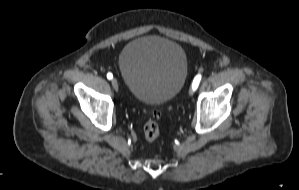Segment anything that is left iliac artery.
<instances>
[{
	"label": "left iliac artery",
	"instance_id": "1",
	"mask_svg": "<svg viewBox=\"0 0 299 190\" xmlns=\"http://www.w3.org/2000/svg\"><path fill=\"white\" fill-rule=\"evenodd\" d=\"M202 76L200 74L196 75L194 80H193V83H192V88L193 90H196L199 83H200V80H201Z\"/></svg>",
	"mask_w": 299,
	"mask_h": 190
}]
</instances>
